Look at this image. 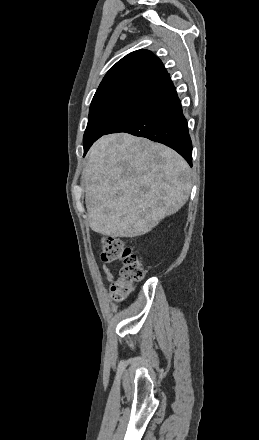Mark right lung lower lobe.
<instances>
[{
  "mask_svg": "<svg viewBox=\"0 0 259 440\" xmlns=\"http://www.w3.org/2000/svg\"><path fill=\"white\" fill-rule=\"evenodd\" d=\"M126 132L165 144L192 166V142L176 89L166 75L105 134ZM93 143L84 147V155Z\"/></svg>",
  "mask_w": 259,
  "mask_h": 440,
  "instance_id": "right-lung-lower-lobe-1",
  "label": "right lung lower lobe"
}]
</instances>
